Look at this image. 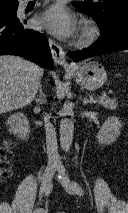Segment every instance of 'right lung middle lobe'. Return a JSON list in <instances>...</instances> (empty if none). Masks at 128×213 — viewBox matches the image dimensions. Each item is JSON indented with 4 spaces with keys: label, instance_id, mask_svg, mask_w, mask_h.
<instances>
[{
    "label": "right lung middle lobe",
    "instance_id": "right-lung-middle-lobe-1",
    "mask_svg": "<svg viewBox=\"0 0 128 213\" xmlns=\"http://www.w3.org/2000/svg\"><path fill=\"white\" fill-rule=\"evenodd\" d=\"M18 6L0 7V15L16 16Z\"/></svg>",
    "mask_w": 128,
    "mask_h": 213
}]
</instances>
